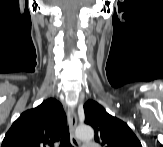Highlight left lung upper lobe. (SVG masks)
Here are the masks:
<instances>
[{
  "label": "left lung upper lobe",
  "mask_w": 163,
  "mask_h": 147,
  "mask_svg": "<svg viewBox=\"0 0 163 147\" xmlns=\"http://www.w3.org/2000/svg\"><path fill=\"white\" fill-rule=\"evenodd\" d=\"M85 123L95 130V141L103 147H142L140 141L122 120L111 116L93 100L84 104Z\"/></svg>",
  "instance_id": "5c2ea615"
}]
</instances>
